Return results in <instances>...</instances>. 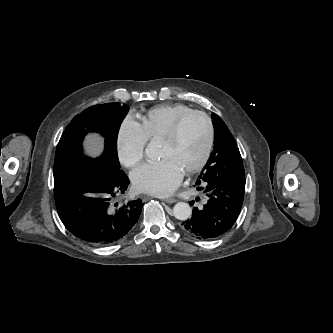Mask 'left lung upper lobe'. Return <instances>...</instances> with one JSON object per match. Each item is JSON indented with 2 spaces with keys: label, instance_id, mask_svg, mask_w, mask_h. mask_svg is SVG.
I'll use <instances>...</instances> for the list:
<instances>
[{
  "label": "left lung upper lobe",
  "instance_id": "5c2ea615",
  "mask_svg": "<svg viewBox=\"0 0 333 333\" xmlns=\"http://www.w3.org/2000/svg\"><path fill=\"white\" fill-rule=\"evenodd\" d=\"M211 117L215 129L214 149L201 174L210 172L221 179L244 178L243 161L235 139L218 115Z\"/></svg>",
  "mask_w": 333,
  "mask_h": 333
}]
</instances>
